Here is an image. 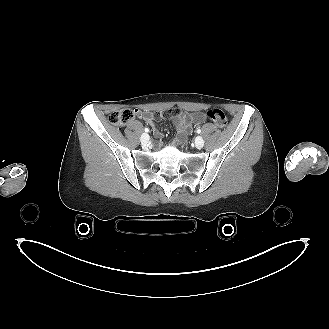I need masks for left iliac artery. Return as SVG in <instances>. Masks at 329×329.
<instances>
[{"label":"left iliac artery","mask_w":329,"mask_h":329,"mask_svg":"<svg viewBox=\"0 0 329 329\" xmlns=\"http://www.w3.org/2000/svg\"><path fill=\"white\" fill-rule=\"evenodd\" d=\"M196 132H197L198 134L201 133V129L198 128V129L196 130Z\"/></svg>","instance_id":"left-iliac-artery-1"}]
</instances>
